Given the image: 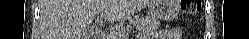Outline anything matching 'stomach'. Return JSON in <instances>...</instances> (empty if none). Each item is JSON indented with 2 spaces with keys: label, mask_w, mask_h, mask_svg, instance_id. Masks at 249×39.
<instances>
[{
  "label": "stomach",
  "mask_w": 249,
  "mask_h": 39,
  "mask_svg": "<svg viewBox=\"0 0 249 39\" xmlns=\"http://www.w3.org/2000/svg\"><path fill=\"white\" fill-rule=\"evenodd\" d=\"M149 9L152 15L163 20H171L176 17L179 12L178 0H154Z\"/></svg>",
  "instance_id": "1"
}]
</instances>
